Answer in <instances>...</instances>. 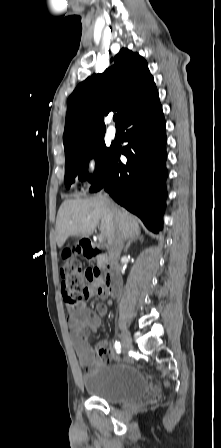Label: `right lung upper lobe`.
Listing matches in <instances>:
<instances>
[{
	"instance_id": "right-lung-upper-lobe-1",
	"label": "right lung upper lobe",
	"mask_w": 221,
	"mask_h": 448,
	"mask_svg": "<svg viewBox=\"0 0 221 448\" xmlns=\"http://www.w3.org/2000/svg\"><path fill=\"white\" fill-rule=\"evenodd\" d=\"M157 93L147 62L138 53L122 48L114 65L81 82L67 101L63 136L65 157L82 151L104 136V117L118 112L119 122Z\"/></svg>"
}]
</instances>
